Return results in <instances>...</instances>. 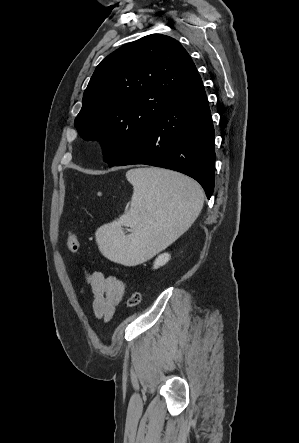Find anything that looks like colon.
<instances>
[{"label": "colon", "instance_id": "5ec220e1", "mask_svg": "<svg viewBox=\"0 0 299 443\" xmlns=\"http://www.w3.org/2000/svg\"><path fill=\"white\" fill-rule=\"evenodd\" d=\"M67 245L68 248L74 252V253H78L80 251V243L79 240L75 234V232L73 230H69L67 232ZM142 299V295L140 293V291H133L128 300H127V305L130 308H134L137 307Z\"/></svg>", "mask_w": 299, "mask_h": 443}]
</instances>
